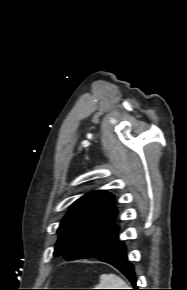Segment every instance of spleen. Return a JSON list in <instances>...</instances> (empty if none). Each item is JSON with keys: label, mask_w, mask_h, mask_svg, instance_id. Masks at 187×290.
Masks as SVG:
<instances>
[{"label": "spleen", "mask_w": 187, "mask_h": 290, "mask_svg": "<svg viewBox=\"0 0 187 290\" xmlns=\"http://www.w3.org/2000/svg\"><path fill=\"white\" fill-rule=\"evenodd\" d=\"M97 289H127L126 282L115 274H102Z\"/></svg>", "instance_id": "3e777b00"}]
</instances>
